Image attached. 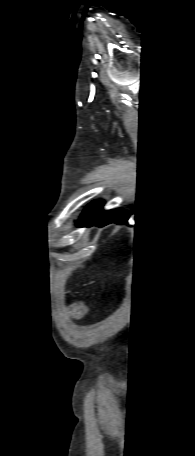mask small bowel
<instances>
[{
    "label": "small bowel",
    "instance_id": "c3829d8e",
    "mask_svg": "<svg viewBox=\"0 0 195 456\" xmlns=\"http://www.w3.org/2000/svg\"><path fill=\"white\" fill-rule=\"evenodd\" d=\"M68 309L74 318H80L87 312V307L81 302L70 304Z\"/></svg>",
    "mask_w": 195,
    "mask_h": 456
}]
</instances>
